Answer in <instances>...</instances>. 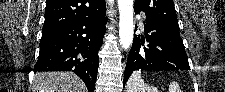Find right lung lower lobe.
I'll return each instance as SVG.
<instances>
[{
    "instance_id": "1",
    "label": "right lung lower lobe",
    "mask_w": 225,
    "mask_h": 92,
    "mask_svg": "<svg viewBox=\"0 0 225 92\" xmlns=\"http://www.w3.org/2000/svg\"><path fill=\"white\" fill-rule=\"evenodd\" d=\"M106 9L94 18L76 21L40 40L34 72L72 71L94 92L99 67L98 51L106 32Z\"/></svg>"
}]
</instances>
